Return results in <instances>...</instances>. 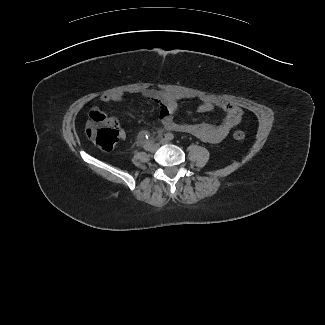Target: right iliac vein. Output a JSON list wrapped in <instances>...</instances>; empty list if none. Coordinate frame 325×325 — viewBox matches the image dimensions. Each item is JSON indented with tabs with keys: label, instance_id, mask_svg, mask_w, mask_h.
Listing matches in <instances>:
<instances>
[{
	"label": "right iliac vein",
	"instance_id": "right-iliac-vein-1",
	"mask_svg": "<svg viewBox=\"0 0 325 325\" xmlns=\"http://www.w3.org/2000/svg\"><path fill=\"white\" fill-rule=\"evenodd\" d=\"M159 148V145L158 144H152L148 150L151 152V153H155Z\"/></svg>",
	"mask_w": 325,
	"mask_h": 325
}]
</instances>
